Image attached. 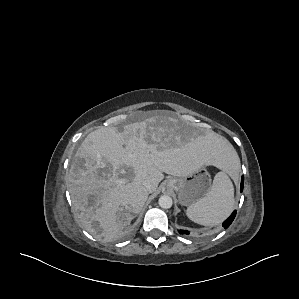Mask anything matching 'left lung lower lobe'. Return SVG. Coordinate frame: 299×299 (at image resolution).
Instances as JSON below:
<instances>
[{
	"label": "left lung lower lobe",
	"instance_id": "left-lung-lower-lobe-1",
	"mask_svg": "<svg viewBox=\"0 0 299 299\" xmlns=\"http://www.w3.org/2000/svg\"><path fill=\"white\" fill-rule=\"evenodd\" d=\"M243 185H244V177L242 176V180H241V187H240V191L242 192L243 191ZM236 216V210L233 211V213L229 216V218L223 222L222 226L226 229L230 226V224L233 222L234 218ZM179 233H182V234H189L188 231H185V230H180Z\"/></svg>",
	"mask_w": 299,
	"mask_h": 299
}]
</instances>
